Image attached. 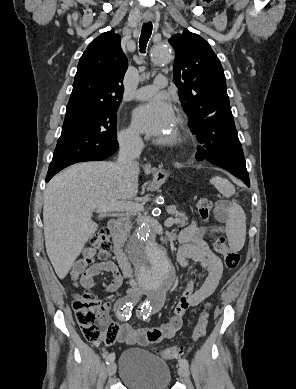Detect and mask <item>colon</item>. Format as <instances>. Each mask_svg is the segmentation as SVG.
Masks as SVG:
<instances>
[{
  "label": "colon",
  "mask_w": 296,
  "mask_h": 389,
  "mask_svg": "<svg viewBox=\"0 0 296 389\" xmlns=\"http://www.w3.org/2000/svg\"><path fill=\"white\" fill-rule=\"evenodd\" d=\"M211 209L212 202L210 199L206 197L199 199L198 213L203 222H209ZM211 236L215 250L224 257L226 268L235 270L240 262L239 254L230 250L227 246L226 239L223 236L217 235L214 229H211ZM91 245L98 250L101 259L107 258L111 250L109 232L105 229L97 232L91 239ZM72 307L75 312L76 321L87 341L95 345H111L114 343L119 328L115 323L109 321L106 308L101 305L94 293L85 289L75 294L72 300ZM208 307L209 304L206 305L199 316L198 323L191 336L192 341H197L206 335ZM183 349V346H172L161 350L160 354L164 359H175L181 355Z\"/></svg>",
  "instance_id": "1"
}]
</instances>
